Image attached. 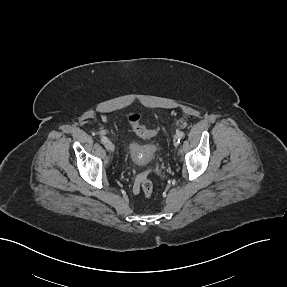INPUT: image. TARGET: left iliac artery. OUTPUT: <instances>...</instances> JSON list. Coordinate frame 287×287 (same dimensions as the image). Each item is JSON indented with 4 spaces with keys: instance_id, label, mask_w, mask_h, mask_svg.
Returning <instances> with one entry per match:
<instances>
[{
    "instance_id": "1",
    "label": "left iliac artery",
    "mask_w": 287,
    "mask_h": 287,
    "mask_svg": "<svg viewBox=\"0 0 287 287\" xmlns=\"http://www.w3.org/2000/svg\"><path fill=\"white\" fill-rule=\"evenodd\" d=\"M176 136H177L178 142H180V140L184 137V132L178 131V132L176 133Z\"/></svg>"
}]
</instances>
